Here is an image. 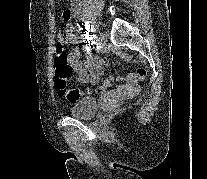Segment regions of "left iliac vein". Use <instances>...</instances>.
Here are the masks:
<instances>
[{"mask_svg":"<svg viewBox=\"0 0 207 179\" xmlns=\"http://www.w3.org/2000/svg\"><path fill=\"white\" fill-rule=\"evenodd\" d=\"M106 41H107L106 34L104 32H99L98 39L96 40V43L99 46V48H102V46L106 44Z\"/></svg>","mask_w":207,"mask_h":179,"instance_id":"left-iliac-vein-1","label":"left iliac vein"}]
</instances>
